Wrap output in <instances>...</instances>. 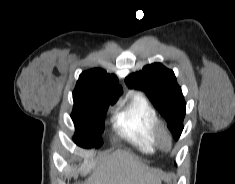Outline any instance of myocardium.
I'll use <instances>...</instances> for the list:
<instances>
[{"instance_id": "f54148a6", "label": "myocardium", "mask_w": 235, "mask_h": 184, "mask_svg": "<svg viewBox=\"0 0 235 184\" xmlns=\"http://www.w3.org/2000/svg\"><path fill=\"white\" fill-rule=\"evenodd\" d=\"M165 138L168 139V145L164 143ZM154 140L157 147L165 152L171 151L175 145L174 137L171 134L170 130L164 124L161 123H158L155 128Z\"/></svg>"}]
</instances>
